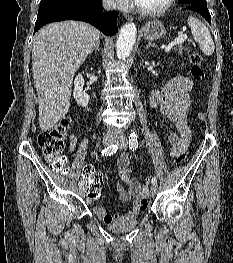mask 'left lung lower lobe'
Wrapping results in <instances>:
<instances>
[{
    "label": "left lung lower lobe",
    "mask_w": 233,
    "mask_h": 263,
    "mask_svg": "<svg viewBox=\"0 0 233 263\" xmlns=\"http://www.w3.org/2000/svg\"><path fill=\"white\" fill-rule=\"evenodd\" d=\"M184 8L200 13L211 24V15L209 13L207 5L189 4V5H184Z\"/></svg>",
    "instance_id": "0a47b994"
}]
</instances>
